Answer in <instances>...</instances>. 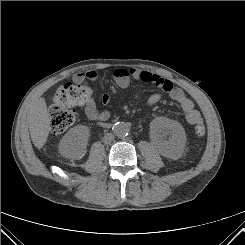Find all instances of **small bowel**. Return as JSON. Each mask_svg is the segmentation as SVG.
I'll return each instance as SVG.
<instances>
[{"instance_id": "c3829d8e", "label": "small bowel", "mask_w": 245, "mask_h": 245, "mask_svg": "<svg viewBox=\"0 0 245 245\" xmlns=\"http://www.w3.org/2000/svg\"><path fill=\"white\" fill-rule=\"evenodd\" d=\"M97 78V73L89 70L86 73H77L73 76L75 83H84L86 79L94 80ZM113 78L117 86L121 89H127L132 80H138L145 83H150L158 87L161 92L151 94L146 99V106L151 107L160 102L164 96H167L171 101L177 104L185 114V119L189 124H197L201 121V114L195 108L193 101L188 98L185 93L173 85V83L152 72L141 70L138 68H117L113 72ZM104 105L110 102V96L104 94L101 99ZM84 112L88 120L100 124H104L110 117V113L106 110H100L94 99H89L84 104Z\"/></svg>"}]
</instances>
